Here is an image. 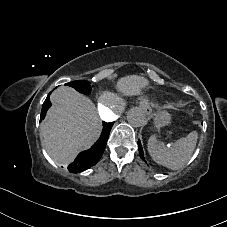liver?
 Masks as SVG:
<instances>
[{
    "label": "liver",
    "mask_w": 227,
    "mask_h": 227,
    "mask_svg": "<svg viewBox=\"0 0 227 227\" xmlns=\"http://www.w3.org/2000/svg\"><path fill=\"white\" fill-rule=\"evenodd\" d=\"M146 85L148 80L137 75L123 77L117 82V88L127 94H139L140 88ZM111 98L113 95L105 92L100 101L112 105ZM50 100L53 106L40 125V134L53 161L58 165L68 164L98 139L101 121L94 103L71 87H58Z\"/></svg>",
    "instance_id": "liver-1"
}]
</instances>
